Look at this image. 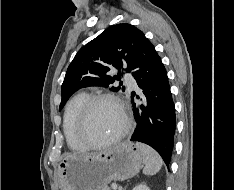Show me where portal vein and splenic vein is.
I'll list each match as a JSON object with an SVG mask.
<instances>
[{
  "label": "portal vein and splenic vein",
  "instance_id": "18ae733b",
  "mask_svg": "<svg viewBox=\"0 0 234 190\" xmlns=\"http://www.w3.org/2000/svg\"><path fill=\"white\" fill-rule=\"evenodd\" d=\"M112 188H113V190H116L117 189V184H113Z\"/></svg>",
  "mask_w": 234,
  "mask_h": 190
}]
</instances>
